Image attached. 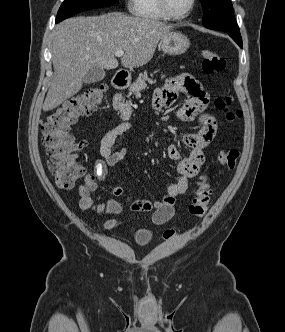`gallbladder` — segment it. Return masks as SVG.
Wrapping results in <instances>:
<instances>
[{"label":"gallbladder","instance_id":"obj_1","mask_svg":"<svg viewBox=\"0 0 285 332\" xmlns=\"http://www.w3.org/2000/svg\"><path fill=\"white\" fill-rule=\"evenodd\" d=\"M105 76V70L100 67H91L84 76L83 82L85 84H91L100 82Z\"/></svg>","mask_w":285,"mask_h":332}]
</instances>
